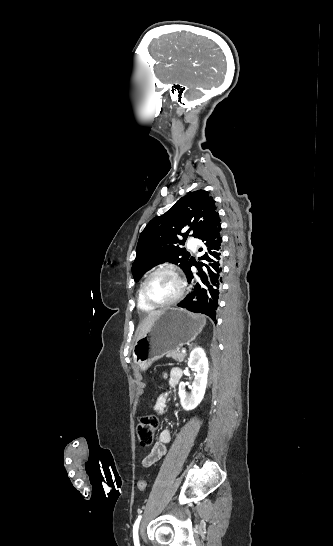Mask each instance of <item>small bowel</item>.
Returning a JSON list of instances; mask_svg holds the SVG:
<instances>
[{
  "instance_id": "obj_1",
  "label": "small bowel",
  "mask_w": 333,
  "mask_h": 546,
  "mask_svg": "<svg viewBox=\"0 0 333 546\" xmlns=\"http://www.w3.org/2000/svg\"><path fill=\"white\" fill-rule=\"evenodd\" d=\"M168 378L169 385L175 387L181 377L182 371L179 368H173L170 370L169 374L165 376ZM164 409V398L160 396L157 398L154 404V410L158 413H162ZM172 433L168 428L162 429L158 436V441L155 443L151 451L143 458L142 465L144 467H150L159 461L167 451V444L171 441Z\"/></svg>"
}]
</instances>
